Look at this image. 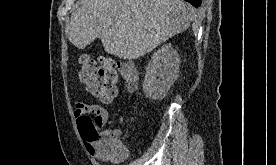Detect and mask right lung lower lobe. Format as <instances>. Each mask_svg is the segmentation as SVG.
<instances>
[{
  "label": "right lung lower lobe",
  "mask_w": 276,
  "mask_h": 165,
  "mask_svg": "<svg viewBox=\"0 0 276 165\" xmlns=\"http://www.w3.org/2000/svg\"><path fill=\"white\" fill-rule=\"evenodd\" d=\"M189 3H191L194 7H199L201 5L202 0H185Z\"/></svg>",
  "instance_id": "98d812e1"
}]
</instances>
